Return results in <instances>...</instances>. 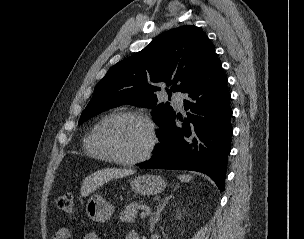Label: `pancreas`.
<instances>
[{"instance_id":"pancreas-1","label":"pancreas","mask_w":304,"mask_h":239,"mask_svg":"<svg viewBox=\"0 0 304 239\" xmlns=\"http://www.w3.org/2000/svg\"><path fill=\"white\" fill-rule=\"evenodd\" d=\"M144 207L143 204H137L135 202L125 206L124 210L120 214V220L126 223H134L137 217L138 210Z\"/></svg>"}]
</instances>
